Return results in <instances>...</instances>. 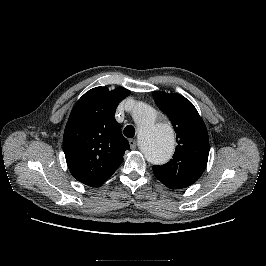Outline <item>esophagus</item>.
<instances>
[{
  "label": "esophagus",
  "instance_id": "obj_1",
  "mask_svg": "<svg viewBox=\"0 0 266 266\" xmlns=\"http://www.w3.org/2000/svg\"><path fill=\"white\" fill-rule=\"evenodd\" d=\"M129 144H130L131 149L136 148V140L135 139H130Z\"/></svg>",
  "mask_w": 266,
  "mask_h": 266
}]
</instances>
